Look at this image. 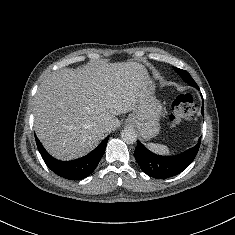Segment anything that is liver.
I'll list each match as a JSON object with an SVG mask.
<instances>
[{
	"instance_id": "liver-1",
	"label": "liver",
	"mask_w": 235,
	"mask_h": 235,
	"mask_svg": "<svg viewBox=\"0 0 235 235\" xmlns=\"http://www.w3.org/2000/svg\"><path fill=\"white\" fill-rule=\"evenodd\" d=\"M146 76L137 62L99 63L50 74L34 99L35 131L45 149L61 160L92 151L120 125L115 116L134 110Z\"/></svg>"
}]
</instances>
